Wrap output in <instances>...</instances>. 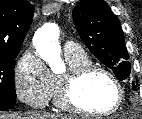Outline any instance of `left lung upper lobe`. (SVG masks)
I'll use <instances>...</instances> for the list:
<instances>
[{
  "mask_svg": "<svg viewBox=\"0 0 142 119\" xmlns=\"http://www.w3.org/2000/svg\"><path fill=\"white\" fill-rule=\"evenodd\" d=\"M73 19L88 49L112 69L119 80L129 78L131 64L127 61L124 34L109 5L103 0H83L74 7ZM133 89H136L134 85Z\"/></svg>",
  "mask_w": 142,
  "mask_h": 119,
  "instance_id": "left-lung-upper-lobe-1",
  "label": "left lung upper lobe"
}]
</instances>
